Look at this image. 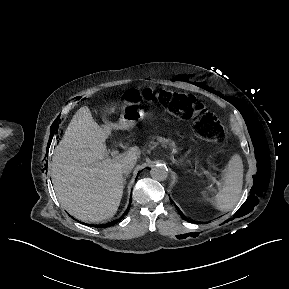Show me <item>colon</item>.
Wrapping results in <instances>:
<instances>
[{
    "mask_svg": "<svg viewBox=\"0 0 289 289\" xmlns=\"http://www.w3.org/2000/svg\"><path fill=\"white\" fill-rule=\"evenodd\" d=\"M150 95L151 91L149 90L130 89L125 92L124 100L137 102L148 99ZM159 97L162 103L168 106L175 115L190 121L198 136L209 141H217L221 137L219 122L205 109L202 101L194 95L162 91Z\"/></svg>",
    "mask_w": 289,
    "mask_h": 289,
    "instance_id": "1",
    "label": "colon"
}]
</instances>
